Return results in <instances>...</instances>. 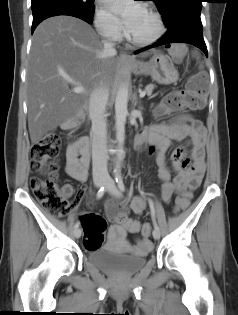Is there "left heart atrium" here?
Masks as SVG:
<instances>
[{
    "label": "left heart atrium",
    "instance_id": "left-heart-atrium-1",
    "mask_svg": "<svg viewBox=\"0 0 238 315\" xmlns=\"http://www.w3.org/2000/svg\"><path fill=\"white\" fill-rule=\"evenodd\" d=\"M109 9L116 14L122 24L129 30L137 16L143 10L141 4L132 0H106Z\"/></svg>",
    "mask_w": 238,
    "mask_h": 315
}]
</instances>
